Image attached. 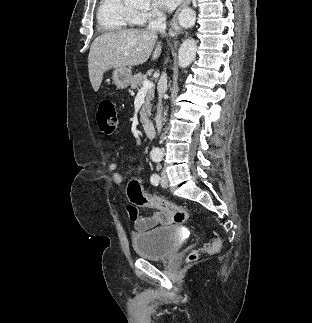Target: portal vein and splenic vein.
<instances>
[{"mask_svg": "<svg viewBox=\"0 0 312 323\" xmlns=\"http://www.w3.org/2000/svg\"><path fill=\"white\" fill-rule=\"evenodd\" d=\"M153 84L152 82H149V80H145V82H143V86L141 88V90H139L138 92V96L139 94H146L147 90H150V88H152Z\"/></svg>", "mask_w": 312, "mask_h": 323, "instance_id": "1", "label": "portal vein and splenic vein"}]
</instances>
